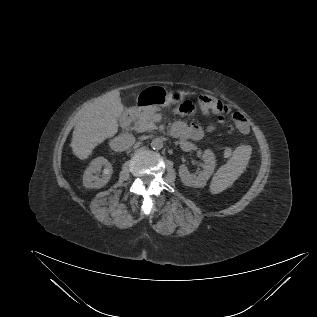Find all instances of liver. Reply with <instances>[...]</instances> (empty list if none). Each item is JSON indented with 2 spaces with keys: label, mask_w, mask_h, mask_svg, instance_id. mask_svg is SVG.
<instances>
[{
  "label": "liver",
  "mask_w": 317,
  "mask_h": 317,
  "mask_svg": "<svg viewBox=\"0 0 317 317\" xmlns=\"http://www.w3.org/2000/svg\"><path fill=\"white\" fill-rule=\"evenodd\" d=\"M123 109L118 90L103 94L85 107L72 134L73 154L87 159L97 145L113 137L118 132V117Z\"/></svg>",
  "instance_id": "6515ba94"
}]
</instances>
